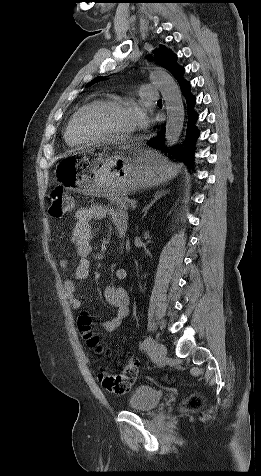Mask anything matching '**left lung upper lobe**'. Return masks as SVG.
<instances>
[{
    "label": "left lung upper lobe",
    "mask_w": 261,
    "mask_h": 476,
    "mask_svg": "<svg viewBox=\"0 0 261 476\" xmlns=\"http://www.w3.org/2000/svg\"><path fill=\"white\" fill-rule=\"evenodd\" d=\"M155 52H160L163 55V58L158 57V61L167 68L175 77L178 73L183 69L176 64V55H174L171 51H169L166 47L161 46L160 50H156ZM93 84L91 82L88 86Z\"/></svg>",
    "instance_id": "5c2ea615"
}]
</instances>
